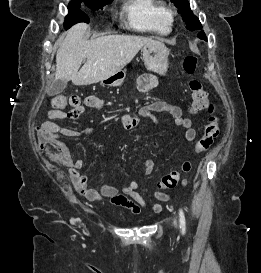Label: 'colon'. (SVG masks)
I'll use <instances>...</instances> for the list:
<instances>
[{
  "instance_id": "obj_1",
  "label": "colon",
  "mask_w": 261,
  "mask_h": 273,
  "mask_svg": "<svg viewBox=\"0 0 261 273\" xmlns=\"http://www.w3.org/2000/svg\"><path fill=\"white\" fill-rule=\"evenodd\" d=\"M197 66L198 59L195 56H188L184 59L183 69L190 76L188 87L192 97V109L195 112L207 109L210 113L203 134L195 144V152L200 153L207 151L213 145L219 135L220 126L219 119L213 114L214 106L210 103L206 90L201 81L194 76ZM51 103L53 107L60 109H65L67 105H70L71 109L68 111V116L72 118H78L83 111V100L77 95H72L69 98L64 95H55ZM37 138L43 151L53 159L64 163L67 162L63 145L55 138V133L48 130L44 123L37 128ZM190 170L191 163L189 161L183 162L179 170L171 171L161 178L159 187L162 190L174 189L178 185L182 174L188 173Z\"/></svg>"
}]
</instances>
